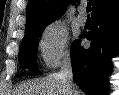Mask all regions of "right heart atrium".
Listing matches in <instances>:
<instances>
[{
    "mask_svg": "<svg viewBox=\"0 0 119 95\" xmlns=\"http://www.w3.org/2000/svg\"><path fill=\"white\" fill-rule=\"evenodd\" d=\"M68 42V28L63 22L56 20L44 28L38 48L46 66L54 68L69 56Z\"/></svg>",
    "mask_w": 119,
    "mask_h": 95,
    "instance_id": "right-heart-atrium-1",
    "label": "right heart atrium"
}]
</instances>
